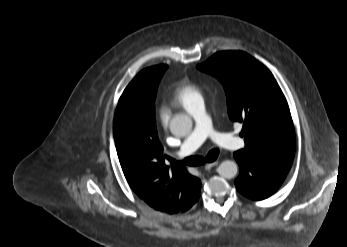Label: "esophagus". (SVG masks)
<instances>
[{"mask_svg": "<svg viewBox=\"0 0 347 247\" xmlns=\"http://www.w3.org/2000/svg\"><path fill=\"white\" fill-rule=\"evenodd\" d=\"M218 164H219L218 161H214V162H211V163H207V164L205 165V169H206V170H209V169H211L212 167L217 166Z\"/></svg>", "mask_w": 347, "mask_h": 247, "instance_id": "obj_1", "label": "esophagus"}]
</instances>
